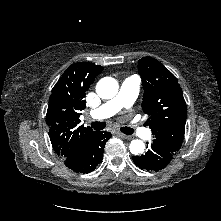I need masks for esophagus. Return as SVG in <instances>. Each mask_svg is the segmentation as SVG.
Segmentation results:
<instances>
[{"mask_svg": "<svg viewBox=\"0 0 221 221\" xmlns=\"http://www.w3.org/2000/svg\"><path fill=\"white\" fill-rule=\"evenodd\" d=\"M119 136H121L122 138L124 139H127V140H131L132 139V136L131 135H126V134H123V133H117Z\"/></svg>", "mask_w": 221, "mask_h": 221, "instance_id": "esophagus-1", "label": "esophagus"}]
</instances>
